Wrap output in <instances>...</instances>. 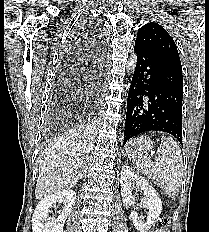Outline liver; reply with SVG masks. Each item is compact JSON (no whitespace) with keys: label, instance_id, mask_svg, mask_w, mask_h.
Returning a JSON list of instances; mask_svg holds the SVG:
<instances>
[{"label":"liver","instance_id":"6515ba94","mask_svg":"<svg viewBox=\"0 0 209 232\" xmlns=\"http://www.w3.org/2000/svg\"><path fill=\"white\" fill-rule=\"evenodd\" d=\"M90 125H78L55 137L39 159V173L35 189L37 200L72 188L87 169L91 148Z\"/></svg>","mask_w":209,"mask_h":232}]
</instances>
